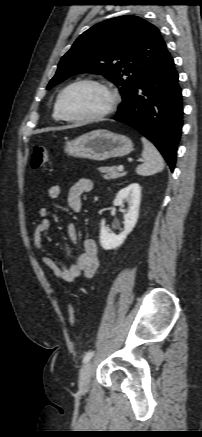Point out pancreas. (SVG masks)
Listing matches in <instances>:
<instances>
[{"instance_id": "obj_1", "label": "pancreas", "mask_w": 202, "mask_h": 437, "mask_svg": "<svg viewBox=\"0 0 202 437\" xmlns=\"http://www.w3.org/2000/svg\"><path fill=\"white\" fill-rule=\"evenodd\" d=\"M100 172L103 173V178L106 180L116 179L126 174L125 172H119L116 166L101 167Z\"/></svg>"}]
</instances>
